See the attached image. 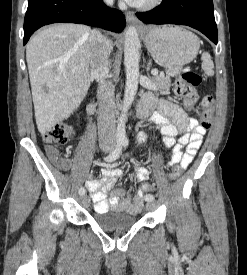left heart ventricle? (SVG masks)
<instances>
[{
	"label": "left heart ventricle",
	"mask_w": 247,
	"mask_h": 275,
	"mask_svg": "<svg viewBox=\"0 0 247 275\" xmlns=\"http://www.w3.org/2000/svg\"><path fill=\"white\" fill-rule=\"evenodd\" d=\"M144 1H146V0H141V2H140V3L144 2Z\"/></svg>",
	"instance_id": "b2bd125f"
}]
</instances>
